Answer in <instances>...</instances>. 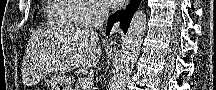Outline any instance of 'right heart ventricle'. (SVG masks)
Instances as JSON below:
<instances>
[{
	"instance_id": "e07e8e85",
	"label": "right heart ventricle",
	"mask_w": 216,
	"mask_h": 90,
	"mask_svg": "<svg viewBox=\"0 0 216 90\" xmlns=\"http://www.w3.org/2000/svg\"><path fill=\"white\" fill-rule=\"evenodd\" d=\"M69 0H50V4L44 7V14L47 15V28H85L83 22L75 16H80L79 11H86L81 4L68 2Z\"/></svg>"
}]
</instances>
